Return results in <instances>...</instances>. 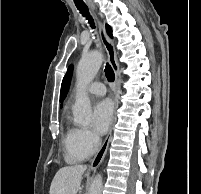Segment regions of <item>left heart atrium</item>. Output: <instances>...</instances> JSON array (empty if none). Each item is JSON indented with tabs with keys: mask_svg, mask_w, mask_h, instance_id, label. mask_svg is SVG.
Instances as JSON below:
<instances>
[{
	"mask_svg": "<svg viewBox=\"0 0 201 194\" xmlns=\"http://www.w3.org/2000/svg\"><path fill=\"white\" fill-rule=\"evenodd\" d=\"M113 104L105 99L98 102L93 110L94 129L98 134H104L109 129L113 119Z\"/></svg>",
	"mask_w": 201,
	"mask_h": 194,
	"instance_id": "left-heart-atrium-1",
	"label": "left heart atrium"
}]
</instances>
